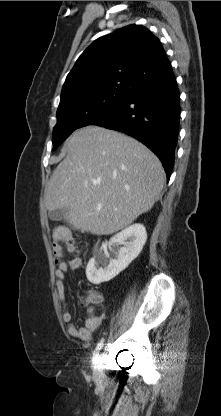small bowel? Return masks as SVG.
Masks as SVG:
<instances>
[{
	"label": "small bowel",
	"mask_w": 221,
	"mask_h": 416,
	"mask_svg": "<svg viewBox=\"0 0 221 416\" xmlns=\"http://www.w3.org/2000/svg\"><path fill=\"white\" fill-rule=\"evenodd\" d=\"M82 266V258L75 257L69 261H60L58 263L57 270L55 272L56 276V289L58 293V298L62 305V319L64 323L67 324L68 334L73 338H78L83 341H89L92 337V334L99 328L101 324V317L91 314L84 321L82 326H77L72 322V315L67 309L66 304V287L65 279L66 275L71 270H77ZM101 300V295L95 294Z\"/></svg>",
	"instance_id": "small-bowel-1"
}]
</instances>
